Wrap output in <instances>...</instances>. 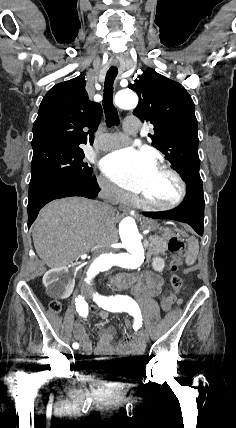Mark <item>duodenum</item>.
Segmentation results:
<instances>
[{
    "label": "duodenum",
    "instance_id": "1",
    "mask_svg": "<svg viewBox=\"0 0 236 428\" xmlns=\"http://www.w3.org/2000/svg\"><path fill=\"white\" fill-rule=\"evenodd\" d=\"M139 280V277L134 275V274H124V275H120L115 279V285L117 287H127L130 285H133L134 283H137V281Z\"/></svg>",
    "mask_w": 236,
    "mask_h": 428
}]
</instances>
